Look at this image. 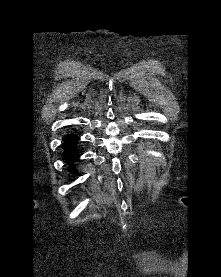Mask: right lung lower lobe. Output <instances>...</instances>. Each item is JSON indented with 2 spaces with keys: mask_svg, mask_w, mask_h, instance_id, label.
Returning a JSON list of instances; mask_svg holds the SVG:
<instances>
[{
  "mask_svg": "<svg viewBox=\"0 0 221 277\" xmlns=\"http://www.w3.org/2000/svg\"><path fill=\"white\" fill-rule=\"evenodd\" d=\"M78 141V137L71 134L67 135L66 138L64 139L66 149L63 153V158L65 161L69 164L72 165L73 162L78 158L79 154L77 152L76 148V143ZM74 171V169H73Z\"/></svg>",
  "mask_w": 221,
  "mask_h": 277,
  "instance_id": "right-lung-lower-lobe-1",
  "label": "right lung lower lobe"
}]
</instances>
